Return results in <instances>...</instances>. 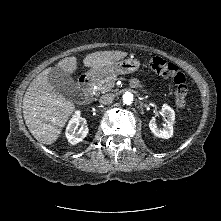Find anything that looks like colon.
Here are the masks:
<instances>
[{"mask_svg":"<svg viewBox=\"0 0 221 221\" xmlns=\"http://www.w3.org/2000/svg\"><path fill=\"white\" fill-rule=\"evenodd\" d=\"M150 68L157 74L169 78L174 82V95L176 98V104L180 108L187 106V78L184 73L172 62L166 59L155 56L149 60Z\"/></svg>","mask_w":221,"mask_h":221,"instance_id":"colon-1","label":"colon"}]
</instances>
